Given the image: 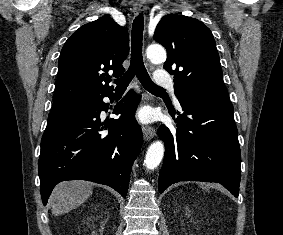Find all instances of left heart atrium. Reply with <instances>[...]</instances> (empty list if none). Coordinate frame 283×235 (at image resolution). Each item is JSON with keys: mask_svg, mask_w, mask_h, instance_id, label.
Wrapping results in <instances>:
<instances>
[{"mask_svg": "<svg viewBox=\"0 0 283 235\" xmlns=\"http://www.w3.org/2000/svg\"><path fill=\"white\" fill-rule=\"evenodd\" d=\"M139 119L143 122H147L149 120L148 113L146 111H141L139 113Z\"/></svg>", "mask_w": 283, "mask_h": 235, "instance_id": "obj_1", "label": "left heart atrium"}]
</instances>
